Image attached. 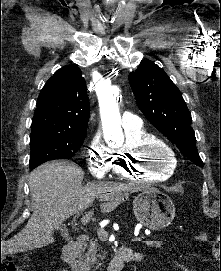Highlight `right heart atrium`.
<instances>
[{
    "mask_svg": "<svg viewBox=\"0 0 221 271\" xmlns=\"http://www.w3.org/2000/svg\"><path fill=\"white\" fill-rule=\"evenodd\" d=\"M93 151L89 152L90 156L87 158V167L94 170L96 177H105V173H113L111 166L113 161H116L119 154H113L112 151H103V146H93Z\"/></svg>",
    "mask_w": 221,
    "mask_h": 271,
    "instance_id": "1",
    "label": "right heart atrium"
}]
</instances>
